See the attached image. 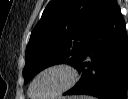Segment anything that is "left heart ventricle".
<instances>
[{
    "mask_svg": "<svg viewBox=\"0 0 128 99\" xmlns=\"http://www.w3.org/2000/svg\"><path fill=\"white\" fill-rule=\"evenodd\" d=\"M69 80V75L64 70H51L42 74L35 82L32 94L35 97H44L55 93Z\"/></svg>",
    "mask_w": 128,
    "mask_h": 99,
    "instance_id": "left-heart-ventricle-1",
    "label": "left heart ventricle"
}]
</instances>
